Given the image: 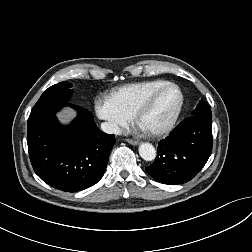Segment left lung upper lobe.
I'll use <instances>...</instances> for the list:
<instances>
[{
  "label": "left lung upper lobe",
  "instance_id": "5c2ea615",
  "mask_svg": "<svg viewBox=\"0 0 252 252\" xmlns=\"http://www.w3.org/2000/svg\"><path fill=\"white\" fill-rule=\"evenodd\" d=\"M203 115V116H212L211 110L208 104L204 101H200L196 109L192 112V116Z\"/></svg>",
  "mask_w": 252,
  "mask_h": 252
}]
</instances>
